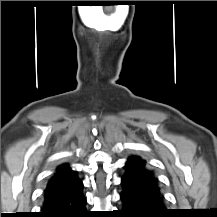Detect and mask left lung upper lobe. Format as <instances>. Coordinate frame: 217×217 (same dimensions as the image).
Segmentation results:
<instances>
[{
  "label": "left lung upper lobe",
  "instance_id": "5c2ea615",
  "mask_svg": "<svg viewBox=\"0 0 217 217\" xmlns=\"http://www.w3.org/2000/svg\"><path fill=\"white\" fill-rule=\"evenodd\" d=\"M133 166V173L144 181H149L158 184V179L155 177L153 171L146 168V161L137 156L130 157L127 162Z\"/></svg>",
  "mask_w": 217,
  "mask_h": 217
}]
</instances>
